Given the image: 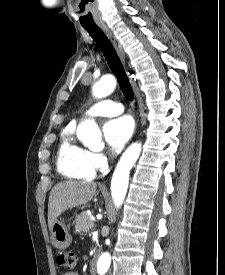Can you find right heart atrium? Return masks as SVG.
Returning a JSON list of instances; mask_svg holds the SVG:
<instances>
[{
    "mask_svg": "<svg viewBox=\"0 0 225 275\" xmlns=\"http://www.w3.org/2000/svg\"><path fill=\"white\" fill-rule=\"evenodd\" d=\"M89 160L92 167L96 170H102L107 164V158L100 152L88 151Z\"/></svg>",
    "mask_w": 225,
    "mask_h": 275,
    "instance_id": "d8ad5b80",
    "label": "right heart atrium"
}]
</instances>
